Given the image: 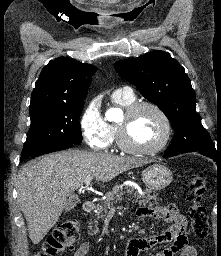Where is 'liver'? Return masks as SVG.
<instances>
[{"label": "liver", "instance_id": "1", "mask_svg": "<svg viewBox=\"0 0 221 256\" xmlns=\"http://www.w3.org/2000/svg\"><path fill=\"white\" fill-rule=\"evenodd\" d=\"M149 162L72 149L51 153L25 164L19 171L16 188L33 244H38L57 223L67 206V197L86 179L95 178L105 183Z\"/></svg>", "mask_w": 221, "mask_h": 256}]
</instances>
